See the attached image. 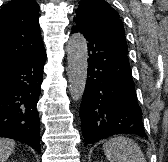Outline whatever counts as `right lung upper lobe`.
Returning a JSON list of instances; mask_svg holds the SVG:
<instances>
[{
  "label": "right lung upper lobe",
  "mask_w": 168,
  "mask_h": 162,
  "mask_svg": "<svg viewBox=\"0 0 168 162\" xmlns=\"http://www.w3.org/2000/svg\"><path fill=\"white\" fill-rule=\"evenodd\" d=\"M34 0H11L0 9V70L45 51Z\"/></svg>",
  "instance_id": "right-lung-upper-lobe-1"
}]
</instances>
